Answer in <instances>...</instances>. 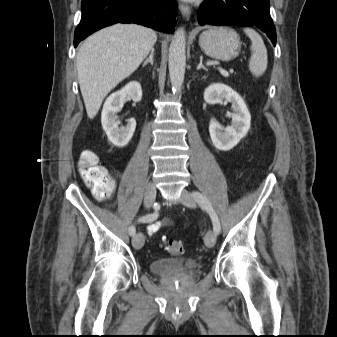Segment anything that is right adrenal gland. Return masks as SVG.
I'll return each instance as SVG.
<instances>
[{"instance_id": "1", "label": "right adrenal gland", "mask_w": 337, "mask_h": 337, "mask_svg": "<svg viewBox=\"0 0 337 337\" xmlns=\"http://www.w3.org/2000/svg\"><path fill=\"white\" fill-rule=\"evenodd\" d=\"M153 56H154V49L151 50V53L149 55V58H147L144 62H143V66L147 65L148 63H150L152 66L154 64L153 62Z\"/></svg>"}]
</instances>
